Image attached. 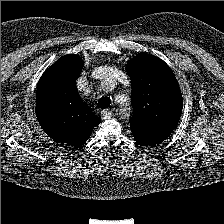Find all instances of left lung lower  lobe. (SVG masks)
<instances>
[{
  "label": "left lung lower lobe",
  "mask_w": 224,
  "mask_h": 224,
  "mask_svg": "<svg viewBox=\"0 0 224 224\" xmlns=\"http://www.w3.org/2000/svg\"><path fill=\"white\" fill-rule=\"evenodd\" d=\"M135 141L139 144V145H145V146H153V141L149 140V138L145 137L142 134L139 133H132Z\"/></svg>",
  "instance_id": "obj_1"
}]
</instances>
